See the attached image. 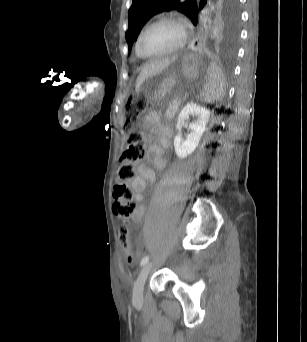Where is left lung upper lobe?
<instances>
[{"mask_svg":"<svg viewBox=\"0 0 307 342\" xmlns=\"http://www.w3.org/2000/svg\"><path fill=\"white\" fill-rule=\"evenodd\" d=\"M211 25L217 47L226 54L235 52L239 35L240 12L238 0H213ZM207 0H133L128 11V31L126 41L129 51L145 23L155 14L176 9L190 18L194 25L198 23L199 9Z\"/></svg>","mask_w":307,"mask_h":342,"instance_id":"1","label":"left lung upper lobe"}]
</instances>
